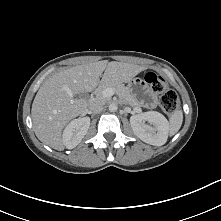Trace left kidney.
<instances>
[{
    "label": "left kidney",
    "mask_w": 221,
    "mask_h": 221,
    "mask_svg": "<svg viewBox=\"0 0 221 221\" xmlns=\"http://www.w3.org/2000/svg\"><path fill=\"white\" fill-rule=\"evenodd\" d=\"M146 121L150 125L145 124ZM130 125L134 134L147 144L162 146L167 141L169 123L159 112L149 111L132 115Z\"/></svg>",
    "instance_id": "left-kidney-1"
}]
</instances>
